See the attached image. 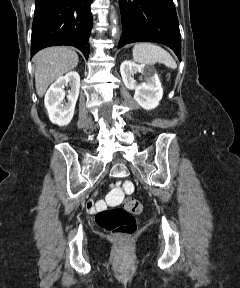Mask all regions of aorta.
<instances>
[{
    "mask_svg": "<svg viewBox=\"0 0 240 288\" xmlns=\"http://www.w3.org/2000/svg\"><path fill=\"white\" fill-rule=\"evenodd\" d=\"M111 22L112 24H114V26L112 27V35L115 36L117 34V28H116L117 22L114 14L111 15Z\"/></svg>",
    "mask_w": 240,
    "mask_h": 288,
    "instance_id": "762f6f07",
    "label": "aorta"
}]
</instances>
